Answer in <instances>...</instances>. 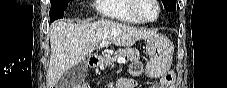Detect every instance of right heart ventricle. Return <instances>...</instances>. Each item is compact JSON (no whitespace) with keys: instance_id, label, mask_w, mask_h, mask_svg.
<instances>
[{"instance_id":"1","label":"right heart ventricle","mask_w":227,"mask_h":88,"mask_svg":"<svg viewBox=\"0 0 227 88\" xmlns=\"http://www.w3.org/2000/svg\"><path fill=\"white\" fill-rule=\"evenodd\" d=\"M130 3L131 0H96V9L101 15L110 19L139 23L130 12Z\"/></svg>"}]
</instances>
